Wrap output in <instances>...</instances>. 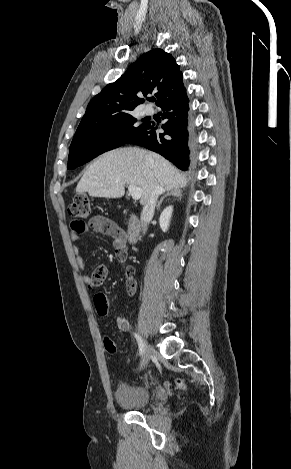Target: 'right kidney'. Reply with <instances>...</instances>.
I'll return each instance as SVG.
<instances>
[{
    "instance_id": "ca27d5eb",
    "label": "right kidney",
    "mask_w": 291,
    "mask_h": 469,
    "mask_svg": "<svg viewBox=\"0 0 291 469\" xmlns=\"http://www.w3.org/2000/svg\"><path fill=\"white\" fill-rule=\"evenodd\" d=\"M173 207H166L160 215L159 223L163 232L168 230L169 222L172 216Z\"/></svg>"
}]
</instances>
